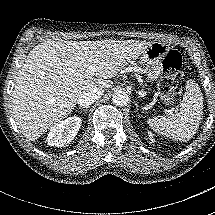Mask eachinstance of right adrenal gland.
<instances>
[{
	"instance_id": "obj_1",
	"label": "right adrenal gland",
	"mask_w": 215,
	"mask_h": 215,
	"mask_svg": "<svg viewBox=\"0 0 215 215\" xmlns=\"http://www.w3.org/2000/svg\"><path fill=\"white\" fill-rule=\"evenodd\" d=\"M79 108H80V109H83V108H84V109H85V113H86V112L89 110L90 107H89V106H87V107H82V106H80Z\"/></svg>"
}]
</instances>
